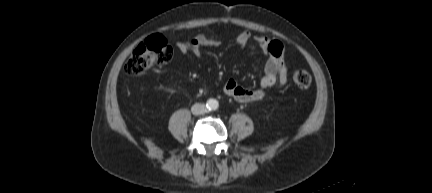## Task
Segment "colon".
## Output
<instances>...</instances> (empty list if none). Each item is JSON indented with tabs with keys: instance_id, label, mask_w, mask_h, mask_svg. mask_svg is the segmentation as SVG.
Here are the masks:
<instances>
[{
	"instance_id": "1",
	"label": "colon",
	"mask_w": 432,
	"mask_h": 193,
	"mask_svg": "<svg viewBox=\"0 0 432 193\" xmlns=\"http://www.w3.org/2000/svg\"><path fill=\"white\" fill-rule=\"evenodd\" d=\"M172 55V47L165 38L161 35H153L134 49L124 69L129 75H140L151 68L167 64ZM292 79L301 89H307L312 83L309 72L302 69L295 70Z\"/></svg>"
}]
</instances>
